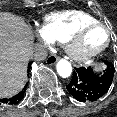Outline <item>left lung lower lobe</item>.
I'll return each mask as SVG.
<instances>
[{
  "instance_id": "left-lung-lower-lobe-1",
  "label": "left lung lower lobe",
  "mask_w": 117,
  "mask_h": 117,
  "mask_svg": "<svg viewBox=\"0 0 117 117\" xmlns=\"http://www.w3.org/2000/svg\"><path fill=\"white\" fill-rule=\"evenodd\" d=\"M107 68L100 73L92 68H75L73 77L67 85L69 93L80 102H93L101 98L110 88L114 66L106 62Z\"/></svg>"
}]
</instances>
